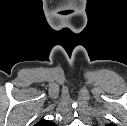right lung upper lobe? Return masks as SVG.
Returning <instances> with one entry per match:
<instances>
[{
    "mask_svg": "<svg viewBox=\"0 0 127 126\" xmlns=\"http://www.w3.org/2000/svg\"><path fill=\"white\" fill-rule=\"evenodd\" d=\"M34 126H55L54 123H52L51 121L48 120H40L39 122H37Z\"/></svg>",
    "mask_w": 127,
    "mask_h": 126,
    "instance_id": "1",
    "label": "right lung upper lobe"
}]
</instances>
